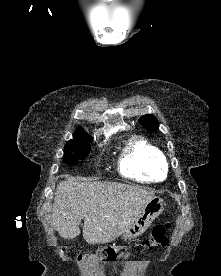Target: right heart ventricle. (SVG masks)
Instances as JSON below:
<instances>
[{
	"label": "right heart ventricle",
	"instance_id": "obj_1",
	"mask_svg": "<svg viewBox=\"0 0 221 276\" xmlns=\"http://www.w3.org/2000/svg\"><path fill=\"white\" fill-rule=\"evenodd\" d=\"M123 176L138 181H160L167 175L168 165L162 151L140 137H134L126 144L120 160Z\"/></svg>",
	"mask_w": 221,
	"mask_h": 276
}]
</instances>
